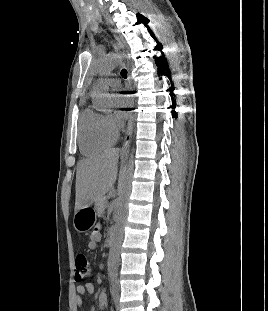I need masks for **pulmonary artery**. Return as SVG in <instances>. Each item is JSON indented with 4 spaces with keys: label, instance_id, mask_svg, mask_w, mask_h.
Returning a JSON list of instances; mask_svg holds the SVG:
<instances>
[{
    "label": "pulmonary artery",
    "instance_id": "e3ab8cb5",
    "mask_svg": "<svg viewBox=\"0 0 268 311\" xmlns=\"http://www.w3.org/2000/svg\"><path fill=\"white\" fill-rule=\"evenodd\" d=\"M104 82L107 86L112 87V88H116L120 85V80L118 78H114V77L107 78V79H105Z\"/></svg>",
    "mask_w": 268,
    "mask_h": 311
}]
</instances>
